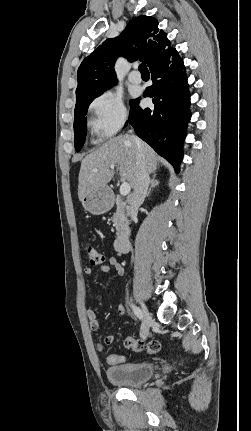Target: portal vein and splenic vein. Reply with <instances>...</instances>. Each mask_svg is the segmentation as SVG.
<instances>
[{"label": "portal vein and splenic vein", "mask_w": 251, "mask_h": 431, "mask_svg": "<svg viewBox=\"0 0 251 431\" xmlns=\"http://www.w3.org/2000/svg\"><path fill=\"white\" fill-rule=\"evenodd\" d=\"M111 167V169H114V166L112 165V166H110ZM94 172H97L98 170L97 169H94L93 170ZM130 191H131V187H130V185L127 183V182H123L122 184H121V186H120V194L122 195V196H126V195H128L129 193H130Z\"/></svg>", "instance_id": "portal-vein-and-splenic-vein-1"}]
</instances>
